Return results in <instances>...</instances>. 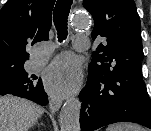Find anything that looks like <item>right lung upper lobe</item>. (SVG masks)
<instances>
[{
	"label": "right lung upper lobe",
	"instance_id": "obj_1",
	"mask_svg": "<svg viewBox=\"0 0 151 131\" xmlns=\"http://www.w3.org/2000/svg\"><path fill=\"white\" fill-rule=\"evenodd\" d=\"M55 0H8L0 10V70L29 59L26 47L48 40ZM12 66V68H11Z\"/></svg>",
	"mask_w": 151,
	"mask_h": 131
}]
</instances>
